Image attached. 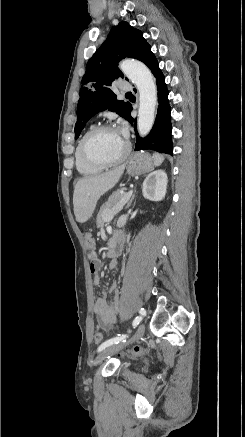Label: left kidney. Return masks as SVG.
<instances>
[{"label": "left kidney", "instance_id": "left-kidney-1", "mask_svg": "<svg viewBox=\"0 0 245 437\" xmlns=\"http://www.w3.org/2000/svg\"><path fill=\"white\" fill-rule=\"evenodd\" d=\"M168 178L163 170L151 172L143 182L142 193L150 201H161L167 190Z\"/></svg>", "mask_w": 245, "mask_h": 437}]
</instances>
